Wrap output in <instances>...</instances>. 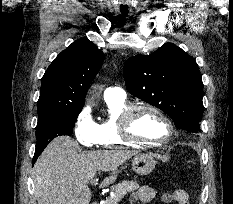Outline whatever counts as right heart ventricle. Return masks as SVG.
<instances>
[{
	"mask_svg": "<svg viewBox=\"0 0 233 204\" xmlns=\"http://www.w3.org/2000/svg\"><path fill=\"white\" fill-rule=\"evenodd\" d=\"M108 116L97 123L98 145L104 148H118L122 146H137L122 139L119 132V119L123 111L130 106L125 98L107 99Z\"/></svg>",
	"mask_w": 233,
	"mask_h": 204,
	"instance_id": "e07e8e85",
	"label": "right heart ventricle"
}]
</instances>
